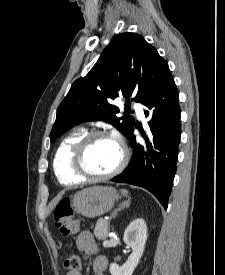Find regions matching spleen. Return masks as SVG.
<instances>
[{"instance_id": "spleen-1", "label": "spleen", "mask_w": 225, "mask_h": 275, "mask_svg": "<svg viewBox=\"0 0 225 275\" xmlns=\"http://www.w3.org/2000/svg\"><path fill=\"white\" fill-rule=\"evenodd\" d=\"M121 193L123 194V196H127L128 195L127 190H121Z\"/></svg>"}]
</instances>
